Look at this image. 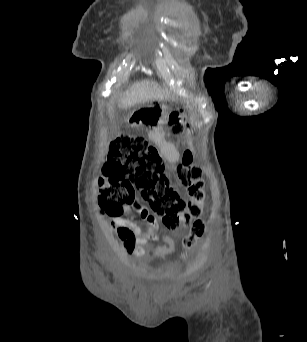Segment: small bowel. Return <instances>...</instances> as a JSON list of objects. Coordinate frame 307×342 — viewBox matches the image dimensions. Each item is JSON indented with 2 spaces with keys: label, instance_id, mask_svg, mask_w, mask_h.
<instances>
[{
  "label": "small bowel",
  "instance_id": "small-bowel-1",
  "mask_svg": "<svg viewBox=\"0 0 307 342\" xmlns=\"http://www.w3.org/2000/svg\"><path fill=\"white\" fill-rule=\"evenodd\" d=\"M167 155L172 160H177L178 158V153L172 148L168 150ZM143 218L149 223V227L145 230L132 219L124 217L113 219V230L122 241L127 256L145 257L150 243L160 238L159 225L155 218L150 213H145Z\"/></svg>",
  "mask_w": 307,
  "mask_h": 342
}]
</instances>
